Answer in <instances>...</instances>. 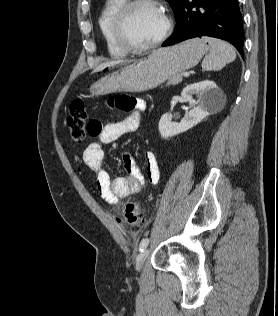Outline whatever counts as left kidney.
I'll use <instances>...</instances> for the list:
<instances>
[{"instance_id":"5707ae66","label":"left kidney","mask_w":278,"mask_h":316,"mask_svg":"<svg viewBox=\"0 0 278 316\" xmlns=\"http://www.w3.org/2000/svg\"><path fill=\"white\" fill-rule=\"evenodd\" d=\"M193 94L197 95V101L192 98ZM222 96V90L215 82L210 80L200 81L185 87L181 93V97L189 103L191 110L180 123L172 122V117L168 113L162 115L158 124L161 137L168 138L175 136L200 123L212 111L218 108Z\"/></svg>"}]
</instances>
